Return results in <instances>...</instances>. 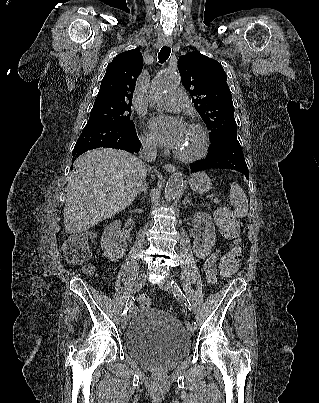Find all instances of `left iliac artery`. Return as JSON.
I'll list each match as a JSON object with an SVG mask.
<instances>
[{
    "label": "left iliac artery",
    "instance_id": "obj_1",
    "mask_svg": "<svg viewBox=\"0 0 319 403\" xmlns=\"http://www.w3.org/2000/svg\"><path fill=\"white\" fill-rule=\"evenodd\" d=\"M170 285H171V289H172V292H173L174 296L179 301L183 302L185 304V306H187L189 308V310H191V308H190L191 304H190L189 300L186 298V296L184 295V293L182 292V290L179 287V285L176 282V280L171 279ZM190 325L195 327V329H196V322L195 321H193L192 324H187V327H189Z\"/></svg>",
    "mask_w": 319,
    "mask_h": 403
}]
</instances>
